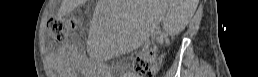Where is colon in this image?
Listing matches in <instances>:
<instances>
[{"label":"colon","mask_w":258,"mask_h":77,"mask_svg":"<svg viewBox=\"0 0 258 77\" xmlns=\"http://www.w3.org/2000/svg\"><path fill=\"white\" fill-rule=\"evenodd\" d=\"M75 26L73 20L64 23L54 20L49 23V29L53 39H64L70 28ZM157 68V59L153 51L140 54L134 61V70L139 77H153Z\"/></svg>","instance_id":"colon-1"}]
</instances>
